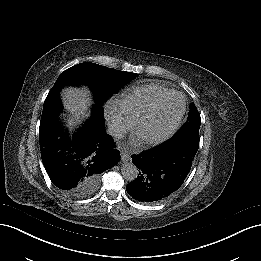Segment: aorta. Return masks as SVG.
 Returning a JSON list of instances; mask_svg holds the SVG:
<instances>
[{
  "label": "aorta",
  "mask_w": 261,
  "mask_h": 261,
  "mask_svg": "<svg viewBox=\"0 0 261 261\" xmlns=\"http://www.w3.org/2000/svg\"><path fill=\"white\" fill-rule=\"evenodd\" d=\"M121 173L128 182H133L139 176V170L132 162H124L121 166Z\"/></svg>",
  "instance_id": "aorta-1"
}]
</instances>
